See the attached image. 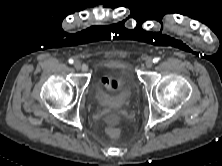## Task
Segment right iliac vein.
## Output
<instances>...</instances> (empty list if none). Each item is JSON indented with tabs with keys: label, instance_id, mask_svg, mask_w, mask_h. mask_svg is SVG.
I'll list each match as a JSON object with an SVG mask.
<instances>
[{
	"label": "right iliac vein",
	"instance_id": "obj_1",
	"mask_svg": "<svg viewBox=\"0 0 222 166\" xmlns=\"http://www.w3.org/2000/svg\"><path fill=\"white\" fill-rule=\"evenodd\" d=\"M74 68L77 69V70L81 69V63L79 61H76L74 63Z\"/></svg>",
	"mask_w": 222,
	"mask_h": 166
}]
</instances>
